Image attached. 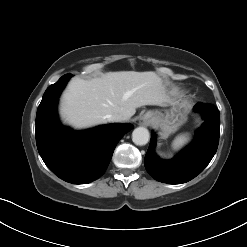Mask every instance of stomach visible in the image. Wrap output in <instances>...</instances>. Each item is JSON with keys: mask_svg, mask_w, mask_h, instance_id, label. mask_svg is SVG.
I'll list each match as a JSON object with an SVG mask.
<instances>
[{"mask_svg": "<svg viewBox=\"0 0 247 247\" xmlns=\"http://www.w3.org/2000/svg\"><path fill=\"white\" fill-rule=\"evenodd\" d=\"M151 122L160 128L164 136L175 132L186 120V111L179 105H174L170 110L162 113L160 111L148 112Z\"/></svg>", "mask_w": 247, "mask_h": 247, "instance_id": "1", "label": "stomach"}]
</instances>
